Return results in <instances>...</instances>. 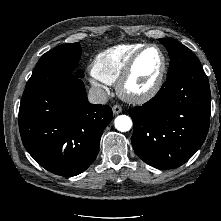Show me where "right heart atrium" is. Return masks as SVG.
Instances as JSON below:
<instances>
[{
  "label": "right heart atrium",
  "mask_w": 221,
  "mask_h": 221,
  "mask_svg": "<svg viewBox=\"0 0 221 221\" xmlns=\"http://www.w3.org/2000/svg\"><path fill=\"white\" fill-rule=\"evenodd\" d=\"M90 81H91L92 85L95 86L96 88L104 89V87L101 85L99 80L96 79L95 77H92Z\"/></svg>",
  "instance_id": "d8ad5b80"
}]
</instances>
